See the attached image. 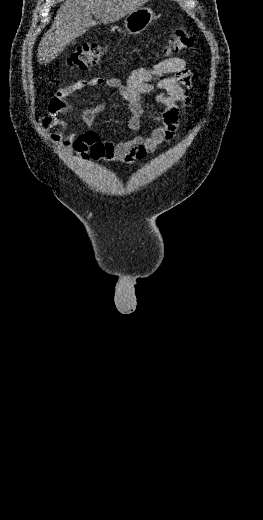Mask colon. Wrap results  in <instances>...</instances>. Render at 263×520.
Returning <instances> with one entry per match:
<instances>
[{
  "label": "colon",
  "mask_w": 263,
  "mask_h": 520,
  "mask_svg": "<svg viewBox=\"0 0 263 520\" xmlns=\"http://www.w3.org/2000/svg\"><path fill=\"white\" fill-rule=\"evenodd\" d=\"M193 45V36L190 31L181 27L174 31L165 48V53L178 54ZM104 53V46L97 43H86L78 46L68 57L67 63L70 67L79 70H87L97 65Z\"/></svg>",
  "instance_id": "colon-1"
}]
</instances>
